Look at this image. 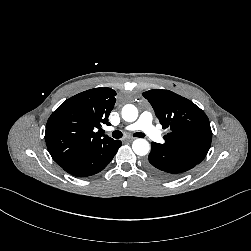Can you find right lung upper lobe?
Segmentation results:
<instances>
[{
    "label": "right lung upper lobe",
    "mask_w": 251,
    "mask_h": 251,
    "mask_svg": "<svg viewBox=\"0 0 251 251\" xmlns=\"http://www.w3.org/2000/svg\"><path fill=\"white\" fill-rule=\"evenodd\" d=\"M115 95L116 92L107 87L90 89L67 99L52 113L47 121L45 140L59 166H66L113 141L100 130L103 124L110 125L108 117Z\"/></svg>",
    "instance_id": "right-lung-upper-lobe-1"
}]
</instances>
